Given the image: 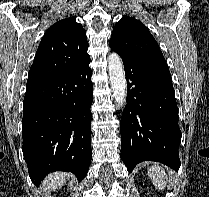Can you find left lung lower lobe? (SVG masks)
Here are the masks:
<instances>
[{
  "label": "left lung lower lobe",
  "mask_w": 209,
  "mask_h": 197,
  "mask_svg": "<svg viewBox=\"0 0 209 197\" xmlns=\"http://www.w3.org/2000/svg\"><path fill=\"white\" fill-rule=\"evenodd\" d=\"M127 105L120 121L122 160L129 172L145 160L180 167L181 131L169 69L123 57Z\"/></svg>",
  "instance_id": "1"
}]
</instances>
